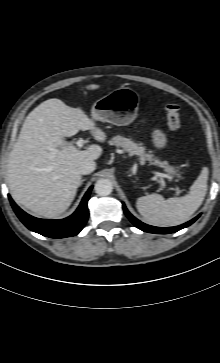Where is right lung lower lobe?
I'll return each instance as SVG.
<instances>
[{
	"instance_id": "obj_1",
	"label": "right lung lower lobe",
	"mask_w": 220,
	"mask_h": 363,
	"mask_svg": "<svg viewBox=\"0 0 220 363\" xmlns=\"http://www.w3.org/2000/svg\"><path fill=\"white\" fill-rule=\"evenodd\" d=\"M91 190L92 187L86 192L77 210L61 220H45L30 216L21 210L10 196L8 198L15 213L27 228L50 238H64L78 234L86 224L89 216L87 203Z\"/></svg>"
}]
</instances>
